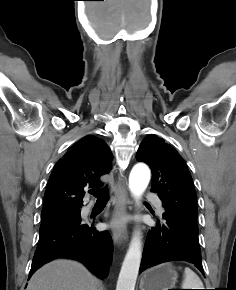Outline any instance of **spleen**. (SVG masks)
Masks as SVG:
<instances>
[{
    "instance_id": "spleen-1",
    "label": "spleen",
    "mask_w": 236,
    "mask_h": 290,
    "mask_svg": "<svg viewBox=\"0 0 236 290\" xmlns=\"http://www.w3.org/2000/svg\"><path fill=\"white\" fill-rule=\"evenodd\" d=\"M182 289H203V283L201 279L188 267H186L184 270Z\"/></svg>"
}]
</instances>
